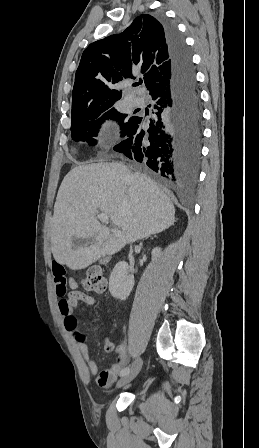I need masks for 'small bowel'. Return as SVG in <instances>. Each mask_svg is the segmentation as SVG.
I'll return each mask as SVG.
<instances>
[{"label":"small bowel","instance_id":"small-bowel-1","mask_svg":"<svg viewBox=\"0 0 259 448\" xmlns=\"http://www.w3.org/2000/svg\"><path fill=\"white\" fill-rule=\"evenodd\" d=\"M52 276L55 284L56 294L59 297L66 295L59 301V313L63 319L64 326L67 330L75 333L77 338V345L80 353L84 357L87 364L86 378L92 374L95 376L96 384L101 388H109L118 379V375L122 368L128 362L127 345L122 342L117 348V359L115 363L106 370H99L97 363L92 359L89 346L83 334L77 330V319L74 316V309L80 303L88 306L96 304L94 297L87 295L78 290V284L72 277H67L65 267L59 261L52 262ZM67 286L70 290L67 293ZM115 349L113 342L110 339L104 341V351L111 353Z\"/></svg>","mask_w":259,"mask_h":448}]
</instances>
